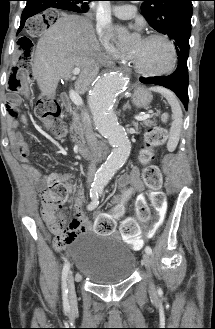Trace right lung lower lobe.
I'll return each instance as SVG.
<instances>
[{
	"label": "right lung lower lobe",
	"instance_id": "right-lung-lower-lobe-1",
	"mask_svg": "<svg viewBox=\"0 0 215 329\" xmlns=\"http://www.w3.org/2000/svg\"><path fill=\"white\" fill-rule=\"evenodd\" d=\"M26 1L27 4L21 16V23L18 29V33L24 27L26 19L47 9L46 5H49V7H53L57 9L73 11L65 1H52V0H26Z\"/></svg>",
	"mask_w": 215,
	"mask_h": 329
}]
</instances>
